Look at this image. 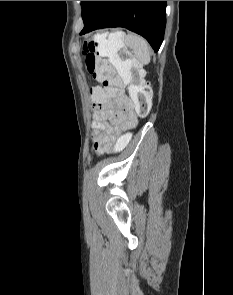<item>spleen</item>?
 <instances>
[{
	"mask_svg": "<svg viewBox=\"0 0 233 295\" xmlns=\"http://www.w3.org/2000/svg\"><path fill=\"white\" fill-rule=\"evenodd\" d=\"M99 50L102 56H107L109 61L121 70L124 63L118 57V51L128 46L134 52L135 57L143 64L150 62V47L148 42L137 34H124L122 31L110 33L107 39L99 38Z\"/></svg>",
	"mask_w": 233,
	"mask_h": 295,
	"instance_id": "obj_1",
	"label": "spleen"
}]
</instances>
